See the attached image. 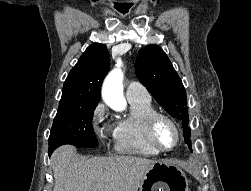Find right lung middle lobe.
<instances>
[{"label":"right lung middle lobe","instance_id":"dd1d6c3e","mask_svg":"<svg viewBox=\"0 0 251 191\" xmlns=\"http://www.w3.org/2000/svg\"><path fill=\"white\" fill-rule=\"evenodd\" d=\"M97 104L58 108L49 137V155L59 146H98L92 118Z\"/></svg>","mask_w":251,"mask_h":191}]
</instances>
